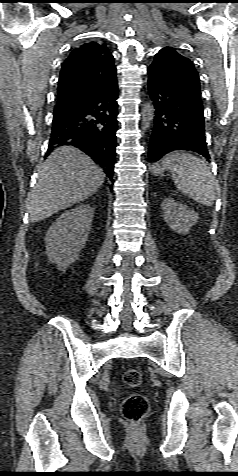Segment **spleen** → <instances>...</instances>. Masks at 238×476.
<instances>
[{"mask_svg": "<svg viewBox=\"0 0 238 476\" xmlns=\"http://www.w3.org/2000/svg\"><path fill=\"white\" fill-rule=\"evenodd\" d=\"M172 172L173 181L179 191L191 199L211 206L214 202V178L208 164L186 152H174L162 162Z\"/></svg>", "mask_w": 238, "mask_h": 476, "instance_id": "3e777b00", "label": "spleen"}]
</instances>
